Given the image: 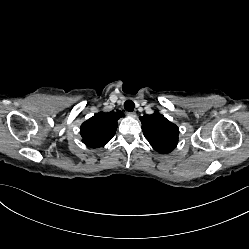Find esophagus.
I'll use <instances>...</instances> for the list:
<instances>
[{
    "instance_id": "34e87169",
    "label": "esophagus",
    "mask_w": 249,
    "mask_h": 249,
    "mask_svg": "<svg viewBox=\"0 0 249 249\" xmlns=\"http://www.w3.org/2000/svg\"><path fill=\"white\" fill-rule=\"evenodd\" d=\"M127 115L132 118H135L137 116L135 112H128Z\"/></svg>"
}]
</instances>
